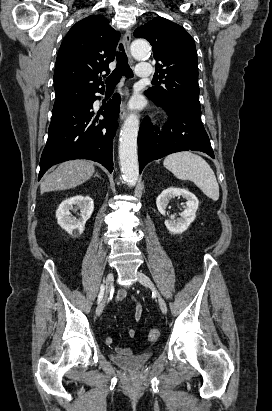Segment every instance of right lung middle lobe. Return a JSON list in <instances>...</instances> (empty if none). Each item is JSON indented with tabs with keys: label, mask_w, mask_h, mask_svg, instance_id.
I'll return each instance as SVG.
<instances>
[{
	"label": "right lung middle lobe",
	"mask_w": 272,
	"mask_h": 411,
	"mask_svg": "<svg viewBox=\"0 0 272 411\" xmlns=\"http://www.w3.org/2000/svg\"><path fill=\"white\" fill-rule=\"evenodd\" d=\"M84 99H86V98H82V97H79V96H78V97H75V98H73V99H71V100H68V101H66V102H63V103L54 104V108H53L52 112H56V111L63 110V109H65V108H67V107H70V106H72V105H75V104L83 101Z\"/></svg>",
	"instance_id": "dd1d6c3e"
}]
</instances>
